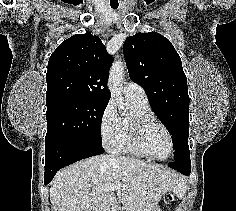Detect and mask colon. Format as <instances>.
Wrapping results in <instances>:
<instances>
[{"label":"colon","mask_w":236,"mask_h":211,"mask_svg":"<svg viewBox=\"0 0 236 211\" xmlns=\"http://www.w3.org/2000/svg\"><path fill=\"white\" fill-rule=\"evenodd\" d=\"M169 198H170L171 200H175V199H176V195L170 194V195H169Z\"/></svg>","instance_id":"obj_1"}]
</instances>
